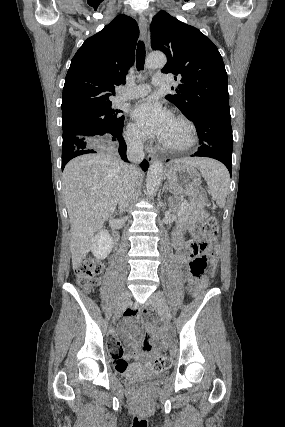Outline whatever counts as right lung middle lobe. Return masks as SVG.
Listing matches in <instances>:
<instances>
[{
    "label": "right lung middle lobe",
    "mask_w": 285,
    "mask_h": 427,
    "mask_svg": "<svg viewBox=\"0 0 285 427\" xmlns=\"http://www.w3.org/2000/svg\"><path fill=\"white\" fill-rule=\"evenodd\" d=\"M120 113L121 110H114L111 103H108L63 116V148L75 145L76 136H85L90 139V143L101 145L115 141L114 138L121 133L124 124V116Z\"/></svg>",
    "instance_id": "obj_1"
}]
</instances>
